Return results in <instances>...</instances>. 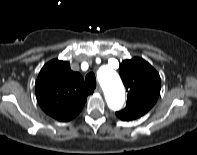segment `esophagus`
Here are the masks:
<instances>
[{"label":"esophagus","mask_w":197,"mask_h":155,"mask_svg":"<svg viewBox=\"0 0 197 155\" xmlns=\"http://www.w3.org/2000/svg\"><path fill=\"white\" fill-rule=\"evenodd\" d=\"M96 92L98 93H102V88L100 86H98L96 89H95Z\"/></svg>","instance_id":"esophagus-1"}]
</instances>
